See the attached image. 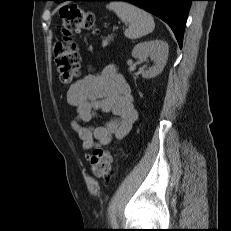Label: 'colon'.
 <instances>
[{"mask_svg":"<svg viewBox=\"0 0 231 231\" xmlns=\"http://www.w3.org/2000/svg\"><path fill=\"white\" fill-rule=\"evenodd\" d=\"M63 39L54 47V58L63 84H71L80 73L81 57L72 34L80 30L95 27L93 14L76 4L65 5L60 9ZM112 154L102 148L95 149L90 157L92 174L97 178H106L111 170Z\"/></svg>","mask_w":231,"mask_h":231,"instance_id":"colon-1","label":"colon"}]
</instances>
